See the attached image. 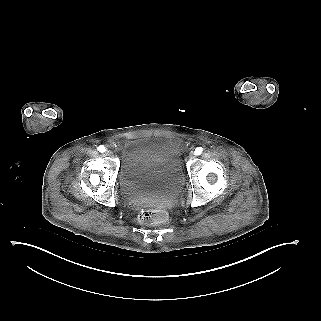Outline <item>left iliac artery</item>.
<instances>
[{
    "label": "left iliac artery",
    "mask_w": 321,
    "mask_h": 321,
    "mask_svg": "<svg viewBox=\"0 0 321 321\" xmlns=\"http://www.w3.org/2000/svg\"><path fill=\"white\" fill-rule=\"evenodd\" d=\"M203 149L201 147H198L195 149V154L200 155L202 153Z\"/></svg>",
    "instance_id": "obj_1"
}]
</instances>
